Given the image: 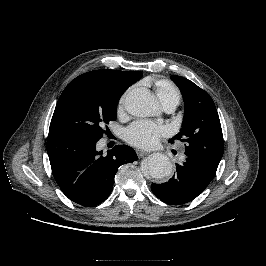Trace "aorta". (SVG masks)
<instances>
[{
  "label": "aorta",
  "instance_id": "obj_1",
  "mask_svg": "<svg viewBox=\"0 0 266 266\" xmlns=\"http://www.w3.org/2000/svg\"><path fill=\"white\" fill-rule=\"evenodd\" d=\"M126 111L137 117L152 116L158 111V100L155 95L145 89L130 91L125 97ZM142 170L154 179H162L172 173V163L162 153H153L148 156Z\"/></svg>",
  "mask_w": 266,
  "mask_h": 266
}]
</instances>
